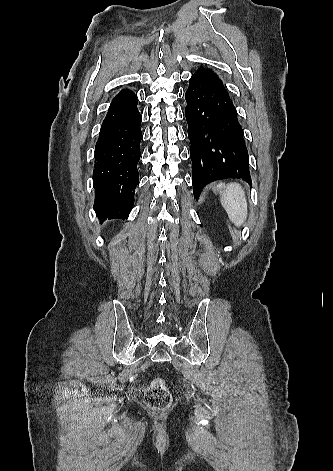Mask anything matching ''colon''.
Wrapping results in <instances>:
<instances>
[{"mask_svg":"<svg viewBox=\"0 0 333 471\" xmlns=\"http://www.w3.org/2000/svg\"><path fill=\"white\" fill-rule=\"evenodd\" d=\"M172 396L164 379L155 378L145 391V403L154 410L162 411L169 408Z\"/></svg>","mask_w":333,"mask_h":471,"instance_id":"obj_1","label":"colon"}]
</instances>
